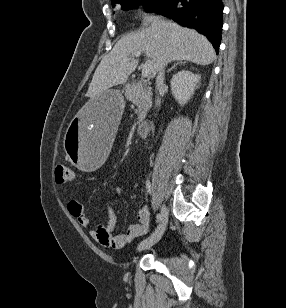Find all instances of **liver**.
Returning <instances> with one entry per match:
<instances>
[{"mask_svg":"<svg viewBox=\"0 0 286 308\" xmlns=\"http://www.w3.org/2000/svg\"><path fill=\"white\" fill-rule=\"evenodd\" d=\"M144 25L147 27L141 31L121 38L103 57L88 88L87 96L91 101L109 88L126 83L138 65V59L132 57L136 51L144 52L151 59L152 75L171 61L186 60L209 65L216 57L211 43L195 30L160 17H148Z\"/></svg>","mask_w":286,"mask_h":308,"instance_id":"1","label":"liver"}]
</instances>
